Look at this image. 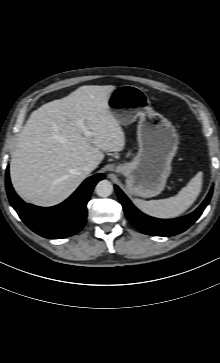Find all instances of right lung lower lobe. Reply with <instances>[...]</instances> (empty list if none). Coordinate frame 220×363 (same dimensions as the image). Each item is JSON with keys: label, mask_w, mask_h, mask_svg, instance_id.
<instances>
[{"label": "right lung lower lobe", "mask_w": 220, "mask_h": 363, "mask_svg": "<svg viewBox=\"0 0 220 363\" xmlns=\"http://www.w3.org/2000/svg\"><path fill=\"white\" fill-rule=\"evenodd\" d=\"M104 177V174H96L87 178L67 200L53 207H38L22 201L11 186L8 168L6 189L12 207L31 230L45 238L60 239L70 237L83 228L91 192Z\"/></svg>", "instance_id": "obj_1"}]
</instances>
